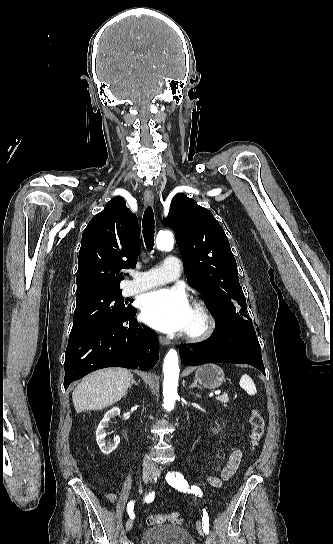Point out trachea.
<instances>
[{
  "label": "trachea",
  "instance_id": "3493384b",
  "mask_svg": "<svg viewBox=\"0 0 333 544\" xmlns=\"http://www.w3.org/2000/svg\"><path fill=\"white\" fill-rule=\"evenodd\" d=\"M154 224H155V221H154L153 209L150 206H148L145 209V212H144V215H143V220H142L143 230H142V233H143L146 248L149 251H151L153 249V245H154V233H155Z\"/></svg>",
  "mask_w": 333,
  "mask_h": 544
}]
</instances>
